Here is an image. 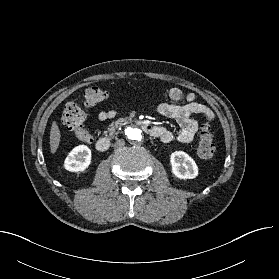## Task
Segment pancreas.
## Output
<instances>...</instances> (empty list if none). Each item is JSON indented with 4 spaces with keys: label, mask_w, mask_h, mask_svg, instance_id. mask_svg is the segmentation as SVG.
<instances>
[{
    "label": "pancreas",
    "mask_w": 279,
    "mask_h": 279,
    "mask_svg": "<svg viewBox=\"0 0 279 279\" xmlns=\"http://www.w3.org/2000/svg\"><path fill=\"white\" fill-rule=\"evenodd\" d=\"M120 127V123L118 121L113 122L109 128L108 131H104V134H109L110 137L116 134V130Z\"/></svg>",
    "instance_id": "1"
}]
</instances>
